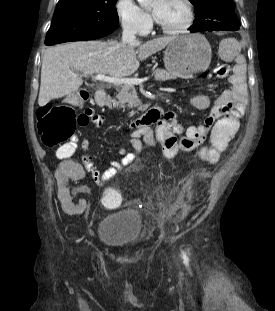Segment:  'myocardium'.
<instances>
[{"instance_id": "1", "label": "myocardium", "mask_w": 275, "mask_h": 311, "mask_svg": "<svg viewBox=\"0 0 275 311\" xmlns=\"http://www.w3.org/2000/svg\"><path fill=\"white\" fill-rule=\"evenodd\" d=\"M187 9V19L185 21V23L177 28H168L163 26L161 23H159V21L155 18V22L158 26V28L160 29V31H162L165 34H179V33H183L186 30H188L191 25L194 22L195 19V10H194V5L192 3L191 0H181Z\"/></svg>"}]
</instances>
